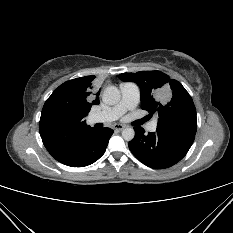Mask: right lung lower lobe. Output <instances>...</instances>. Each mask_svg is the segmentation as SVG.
Returning a JSON list of instances; mask_svg holds the SVG:
<instances>
[{"instance_id":"1","label":"right lung lower lobe","mask_w":233,"mask_h":233,"mask_svg":"<svg viewBox=\"0 0 233 233\" xmlns=\"http://www.w3.org/2000/svg\"><path fill=\"white\" fill-rule=\"evenodd\" d=\"M112 134L110 128L85 127L66 133L40 135L44 146L57 161L71 167H84L104 154Z\"/></svg>"}]
</instances>
